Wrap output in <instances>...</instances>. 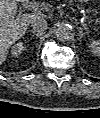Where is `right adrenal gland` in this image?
Masks as SVG:
<instances>
[{
    "mask_svg": "<svg viewBox=\"0 0 100 118\" xmlns=\"http://www.w3.org/2000/svg\"><path fill=\"white\" fill-rule=\"evenodd\" d=\"M31 33L36 36V38L40 37L42 33L36 32L34 30H31Z\"/></svg>",
    "mask_w": 100,
    "mask_h": 118,
    "instance_id": "right-adrenal-gland-1",
    "label": "right adrenal gland"
}]
</instances>
